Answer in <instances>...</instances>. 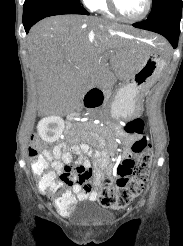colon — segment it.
I'll return each mask as SVG.
<instances>
[{"mask_svg":"<svg viewBox=\"0 0 183 246\" xmlns=\"http://www.w3.org/2000/svg\"><path fill=\"white\" fill-rule=\"evenodd\" d=\"M123 130L126 133L142 132L143 123L140 119H132L125 123ZM29 149L33 171L42 191L53 194L59 183L71 184L76 179L59 177V182L56 181L55 173L48 169L47 160L41 153L42 144L38 139H34ZM132 150L137 156L136 160L123 159L116 167L114 178L105 177L99 183L98 201L106 208L123 209L144 189L152 162V145L146 138H141L134 143ZM77 172L84 173V171ZM56 205L58 208L71 207L70 202H63L59 198L56 199Z\"/></svg>","mask_w":183,"mask_h":246,"instance_id":"1","label":"colon"}]
</instances>
